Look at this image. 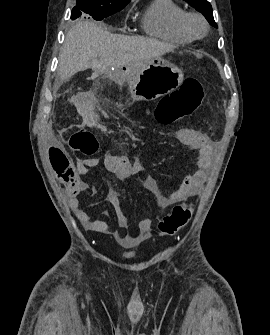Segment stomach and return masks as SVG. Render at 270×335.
<instances>
[{"label": "stomach", "mask_w": 270, "mask_h": 335, "mask_svg": "<svg viewBox=\"0 0 270 335\" xmlns=\"http://www.w3.org/2000/svg\"><path fill=\"white\" fill-rule=\"evenodd\" d=\"M119 78H124L129 84V92L133 102L136 100H156L161 96L177 90L184 80V74L179 68L168 66L164 60H151L146 67L122 66L117 70Z\"/></svg>", "instance_id": "1"}]
</instances>
